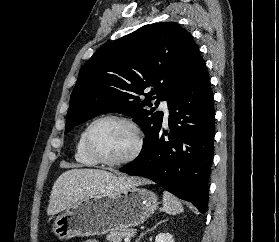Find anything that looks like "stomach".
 <instances>
[{
    "instance_id": "stomach-1",
    "label": "stomach",
    "mask_w": 279,
    "mask_h": 242,
    "mask_svg": "<svg viewBox=\"0 0 279 242\" xmlns=\"http://www.w3.org/2000/svg\"><path fill=\"white\" fill-rule=\"evenodd\" d=\"M157 206L155 193L136 186L99 193L74 202L55 217L52 232L60 240L103 235L142 224Z\"/></svg>"
}]
</instances>
